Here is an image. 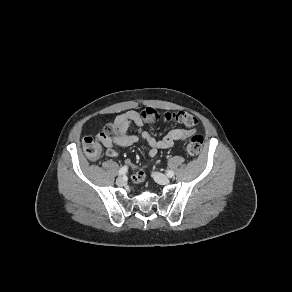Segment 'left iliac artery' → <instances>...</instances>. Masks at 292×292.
<instances>
[{"mask_svg":"<svg viewBox=\"0 0 292 292\" xmlns=\"http://www.w3.org/2000/svg\"><path fill=\"white\" fill-rule=\"evenodd\" d=\"M167 176L170 177V178L173 177L174 176V172L171 171V170H168L167 171Z\"/></svg>","mask_w":292,"mask_h":292,"instance_id":"left-iliac-artery-1","label":"left iliac artery"}]
</instances>
